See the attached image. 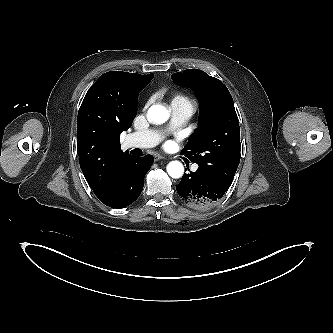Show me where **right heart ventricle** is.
Instances as JSON below:
<instances>
[{
  "label": "right heart ventricle",
  "instance_id": "right-heart-ventricle-1",
  "mask_svg": "<svg viewBox=\"0 0 333 333\" xmlns=\"http://www.w3.org/2000/svg\"><path fill=\"white\" fill-rule=\"evenodd\" d=\"M174 101L191 103V101L188 99V97L181 95V94L175 95L172 99V102H174Z\"/></svg>",
  "mask_w": 333,
  "mask_h": 333
}]
</instances>
